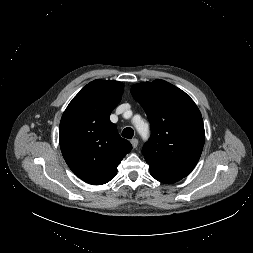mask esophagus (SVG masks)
I'll list each match as a JSON object with an SVG mask.
<instances>
[{
  "label": "esophagus",
  "mask_w": 253,
  "mask_h": 253,
  "mask_svg": "<svg viewBox=\"0 0 253 253\" xmlns=\"http://www.w3.org/2000/svg\"><path fill=\"white\" fill-rule=\"evenodd\" d=\"M130 142H131L133 148H136L138 146V139L133 138V139H131Z\"/></svg>",
  "instance_id": "1"
}]
</instances>
